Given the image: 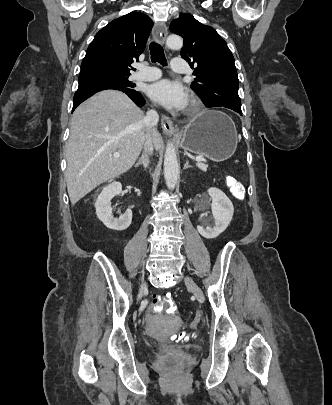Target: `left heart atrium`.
Instances as JSON below:
<instances>
[{
  "instance_id": "obj_1",
  "label": "left heart atrium",
  "mask_w": 332,
  "mask_h": 405,
  "mask_svg": "<svg viewBox=\"0 0 332 405\" xmlns=\"http://www.w3.org/2000/svg\"><path fill=\"white\" fill-rule=\"evenodd\" d=\"M148 96L168 109L181 110L188 103V93L179 83L162 79L147 87Z\"/></svg>"
}]
</instances>
